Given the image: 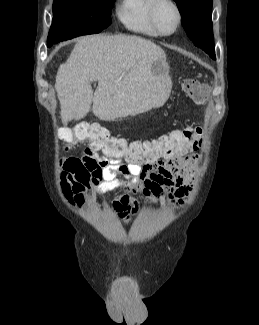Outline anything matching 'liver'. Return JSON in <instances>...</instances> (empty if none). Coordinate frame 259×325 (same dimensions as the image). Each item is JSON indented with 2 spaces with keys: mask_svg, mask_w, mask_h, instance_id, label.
<instances>
[{
  "mask_svg": "<svg viewBox=\"0 0 259 325\" xmlns=\"http://www.w3.org/2000/svg\"><path fill=\"white\" fill-rule=\"evenodd\" d=\"M155 63L167 69L165 51L138 36L79 39L56 75L63 125L84 118L92 103L94 115L104 121L163 106L170 84L159 75ZM93 81H98L94 94Z\"/></svg>",
  "mask_w": 259,
  "mask_h": 325,
  "instance_id": "1",
  "label": "liver"
}]
</instances>
